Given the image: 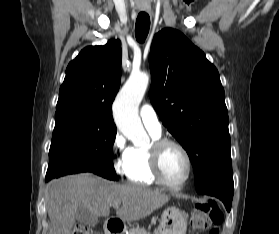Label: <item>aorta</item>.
Listing matches in <instances>:
<instances>
[{"mask_svg":"<svg viewBox=\"0 0 279 234\" xmlns=\"http://www.w3.org/2000/svg\"><path fill=\"white\" fill-rule=\"evenodd\" d=\"M149 83L145 72H134L118 93L113 104V116L118 129L136 146H145L149 137L143 128L138 107Z\"/></svg>","mask_w":279,"mask_h":234,"instance_id":"obj_1","label":"aorta"}]
</instances>
